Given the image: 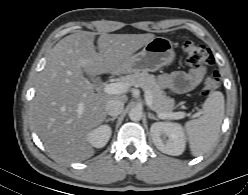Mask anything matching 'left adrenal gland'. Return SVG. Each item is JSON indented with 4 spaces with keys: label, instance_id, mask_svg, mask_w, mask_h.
<instances>
[{
    "label": "left adrenal gland",
    "instance_id": "1",
    "mask_svg": "<svg viewBox=\"0 0 248 195\" xmlns=\"http://www.w3.org/2000/svg\"><path fill=\"white\" fill-rule=\"evenodd\" d=\"M148 118L154 119V120H158V118L155 117L154 114H152V113H150V112L148 113Z\"/></svg>",
    "mask_w": 248,
    "mask_h": 195
}]
</instances>
